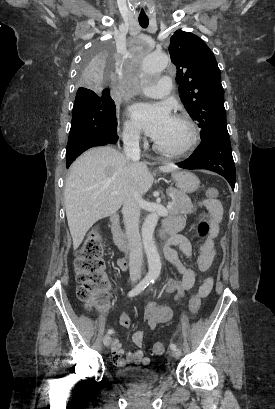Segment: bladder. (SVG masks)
<instances>
[{"mask_svg": "<svg viewBox=\"0 0 275 409\" xmlns=\"http://www.w3.org/2000/svg\"><path fill=\"white\" fill-rule=\"evenodd\" d=\"M162 375L151 368L127 367L117 369L118 382H131L132 387L154 386Z\"/></svg>", "mask_w": 275, "mask_h": 409, "instance_id": "31cf9c89", "label": "bladder"}]
</instances>
